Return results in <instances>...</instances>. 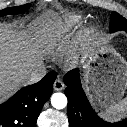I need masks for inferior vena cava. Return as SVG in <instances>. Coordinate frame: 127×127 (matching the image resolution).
I'll list each match as a JSON object with an SVG mask.
<instances>
[{"label": "inferior vena cava", "instance_id": "inferior-vena-cava-1", "mask_svg": "<svg viewBox=\"0 0 127 127\" xmlns=\"http://www.w3.org/2000/svg\"><path fill=\"white\" fill-rule=\"evenodd\" d=\"M46 75V68L44 65L38 66L34 69L29 77V84L39 82Z\"/></svg>", "mask_w": 127, "mask_h": 127}]
</instances>
